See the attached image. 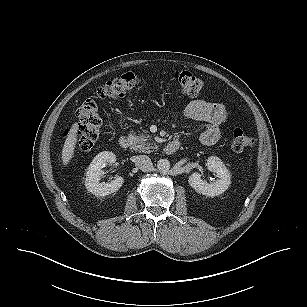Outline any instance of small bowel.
I'll return each mask as SVG.
<instances>
[{"instance_id":"obj_1","label":"small bowel","mask_w":307,"mask_h":307,"mask_svg":"<svg viewBox=\"0 0 307 307\" xmlns=\"http://www.w3.org/2000/svg\"><path fill=\"white\" fill-rule=\"evenodd\" d=\"M184 113L192 120L205 123L199 135L202 144L213 145L220 140L219 127L228 119V113L222 105L204 99L193 100L186 106Z\"/></svg>"}]
</instances>
